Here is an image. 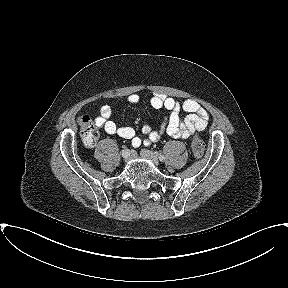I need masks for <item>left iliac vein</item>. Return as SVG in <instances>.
I'll use <instances>...</instances> for the list:
<instances>
[{"instance_id":"left-iliac-vein-1","label":"left iliac vein","mask_w":288,"mask_h":288,"mask_svg":"<svg viewBox=\"0 0 288 288\" xmlns=\"http://www.w3.org/2000/svg\"><path fill=\"white\" fill-rule=\"evenodd\" d=\"M140 155L143 158L150 160L154 165H158L159 164V160H158L157 156L153 152H151L149 150L142 149L141 152H140Z\"/></svg>"}]
</instances>
